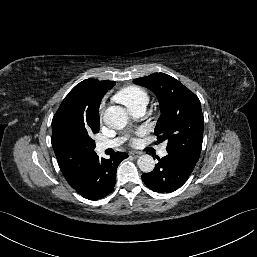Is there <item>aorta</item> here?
I'll return each mask as SVG.
<instances>
[{
	"label": "aorta",
	"instance_id": "762f6f07",
	"mask_svg": "<svg viewBox=\"0 0 257 257\" xmlns=\"http://www.w3.org/2000/svg\"><path fill=\"white\" fill-rule=\"evenodd\" d=\"M104 123L116 130L123 129L128 123V114L124 108L120 106H111L106 109L103 115ZM138 167L142 172L149 173L155 167V161L148 154L141 155L137 160Z\"/></svg>",
	"mask_w": 257,
	"mask_h": 257
}]
</instances>
